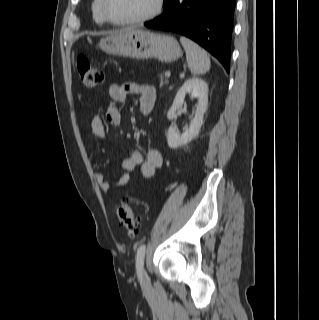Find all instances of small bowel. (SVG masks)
Wrapping results in <instances>:
<instances>
[{
  "label": "small bowel",
  "instance_id": "small-bowel-1",
  "mask_svg": "<svg viewBox=\"0 0 319 320\" xmlns=\"http://www.w3.org/2000/svg\"><path fill=\"white\" fill-rule=\"evenodd\" d=\"M129 93L139 94V111L142 115L151 113L157 97L156 89L150 85H133V84H112L108 88V96L110 99L109 105L105 111V119L113 126L121 124L122 116L118 105L123 103ZM92 134L96 138H104L106 131L103 123V118L100 112H97L91 120ZM92 161L96 162V157L92 156ZM163 163L162 153L156 148H149L144 156L138 150L132 151L122 163L123 173L119 177L117 183L112 184L106 180L101 172L95 173V180L100 189L108 192L114 188H123L130 182V174L137 168L143 178H152L157 169Z\"/></svg>",
  "mask_w": 319,
  "mask_h": 320
}]
</instances>
